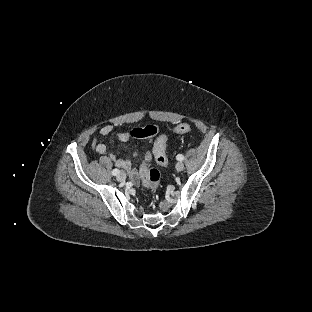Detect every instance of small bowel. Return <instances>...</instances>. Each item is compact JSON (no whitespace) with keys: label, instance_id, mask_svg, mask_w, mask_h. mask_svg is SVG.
<instances>
[{"label":"small bowel","instance_id":"1","mask_svg":"<svg viewBox=\"0 0 312 312\" xmlns=\"http://www.w3.org/2000/svg\"><path fill=\"white\" fill-rule=\"evenodd\" d=\"M140 129L141 128H135L132 130L120 131L117 133V139L120 142H127L131 138H143L139 134ZM113 130H114V126L112 124H106V125L102 126L100 131H99V135L94 137V139L92 141V148L96 153L107 157L108 160L111 161L112 163H114L117 167L124 169L128 173L132 183L138 184L140 181L139 173H138L137 169L133 167L132 162L129 159L119 158V157H117L111 153H108L107 146L99 140V136L100 137H106V136L110 135L113 132ZM146 138H151V136H148ZM150 142L152 143V146L144 155V161L145 162H150L153 158H156V156L154 154L155 149H154L153 140L150 139ZM135 155H137V154H135Z\"/></svg>","mask_w":312,"mask_h":312}]
</instances>
